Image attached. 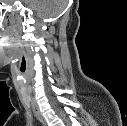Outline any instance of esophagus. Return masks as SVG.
<instances>
[{"mask_svg":"<svg viewBox=\"0 0 127 126\" xmlns=\"http://www.w3.org/2000/svg\"><path fill=\"white\" fill-rule=\"evenodd\" d=\"M31 106H32L33 112H34L35 116L37 117V119L39 120V122L43 126H46L45 118L34 100H32Z\"/></svg>","mask_w":127,"mask_h":126,"instance_id":"34e87169","label":"esophagus"}]
</instances>
